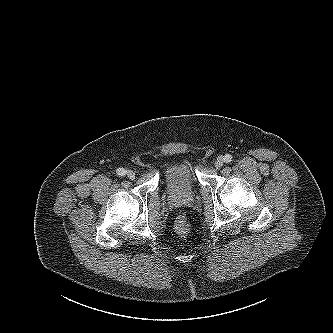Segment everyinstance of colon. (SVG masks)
I'll return each mask as SVG.
<instances>
[{"label":"colon","mask_w":333,"mask_h":333,"mask_svg":"<svg viewBox=\"0 0 333 333\" xmlns=\"http://www.w3.org/2000/svg\"><path fill=\"white\" fill-rule=\"evenodd\" d=\"M192 228L190 219L185 215H180L177 217L175 222V229L177 233L181 235H187L190 233Z\"/></svg>","instance_id":"colon-1"}]
</instances>
